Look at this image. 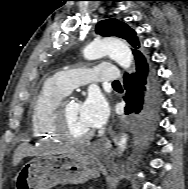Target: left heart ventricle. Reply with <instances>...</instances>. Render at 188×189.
Segmentation results:
<instances>
[{"mask_svg":"<svg viewBox=\"0 0 188 189\" xmlns=\"http://www.w3.org/2000/svg\"><path fill=\"white\" fill-rule=\"evenodd\" d=\"M66 123L69 133L74 136L84 135L91 130L82 118L81 103L76 100L68 104Z\"/></svg>","mask_w":188,"mask_h":189,"instance_id":"left-heart-ventricle-1","label":"left heart ventricle"}]
</instances>
